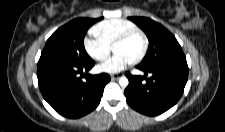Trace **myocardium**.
Segmentation results:
<instances>
[{
  "label": "myocardium",
  "mask_w": 225,
  "mask_h": 132,
  "mask_svg": "<svg viewBox=\"0 0 225 132\" xmlns=\"http://www.w3.org/2000/svg\"><path fill=\"white\" fill-rule=\"evenodd\" d=\"M135 35L141 36L143 39V43H144L141 53L132 60L133 63H139L146 57L148 50H149V39L142 30L135 28V29H131V30H128L125 33H123L114 42L113 50L115 49L116 46L125 43L126 41H128L130 38H132Z\"/></svg>",
  "instance_id": "1"
}]
</instances>
